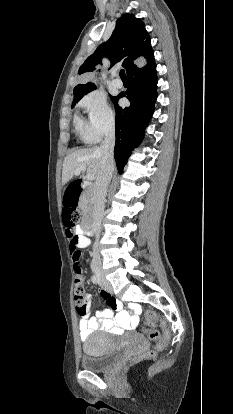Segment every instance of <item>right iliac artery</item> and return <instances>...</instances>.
<instances>
[{"mask_svg": "<svg viewBox=\"0 0 233 414\" xmlns=\"http://www.w3.org/2000/svg\"><path fill=\"white\" fill-rule=\"evenodd\" d=\"M91 281H92V283H93V284H95V285L99 284V278H98L97 276H95V275H93V276L91 277Z\"/></svg>", "mask_w": 233, "mask_h": 414, "instance_id": "right-iliac-artery-1", "label": "right iliac artery"}]
</instances>
